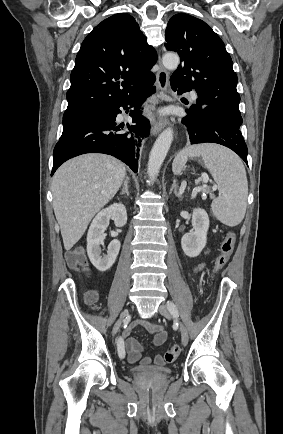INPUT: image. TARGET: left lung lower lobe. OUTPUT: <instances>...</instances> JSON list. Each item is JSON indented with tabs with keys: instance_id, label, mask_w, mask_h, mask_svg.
I'll use <instances>...</instances> for the list:
<instances>
[{
	"instance_id": "obj_1",
	"label": "left lung lower lobe",
	"mask_w": 283,
	"mask_h": 434,
	"mask_svg": "<svg viewBox=\"0 0 283 434\" xmlns=\"http://www.w3.org/2000/svg\"><path fill=\"white\" fill-rule=\"evenodd\" d=\"M170 82L172 89L178 94L190 91L171 79ZM182 123L188 128L191 144L211 142L224 145L237 153L248 165L247 146L240 130L242 125L240 114L205 105L200 106L196 112L188 109Z\"/></svg>"
}]
</instances>
